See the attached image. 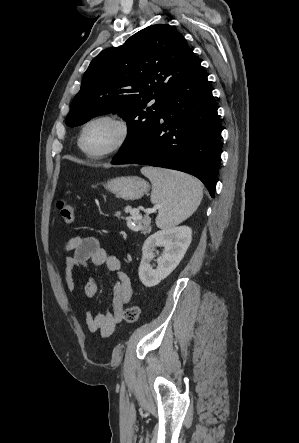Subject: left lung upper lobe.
<instances>
[{
  "mask_svg": "<svg viewBox=\"0 0 299 443\" xmlns=\"http://www.w3.org/2000/svg\"><path fill=\"white\" fill-rule=\"evenodd\" d=\"M198 64L184 37L172 26L146 27L92 60L65 123L75 127L95 116L117 113L127 121L128 136L115 158L155 123L172 89Z\"/></svg>",
  "mask_w": 299,
  "mask_h": 443,
  "instance_id": "obj_1",
  "label": "left lung upper lobe"
}]
</instances>
